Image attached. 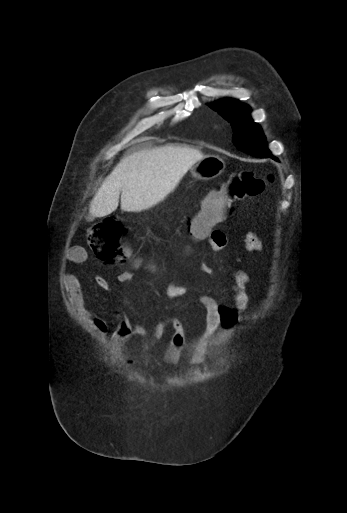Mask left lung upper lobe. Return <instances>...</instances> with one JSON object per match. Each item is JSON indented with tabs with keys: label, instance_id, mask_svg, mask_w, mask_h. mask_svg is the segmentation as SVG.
I'll return each mask as SVG.
<instances>
[{
	"label": "left lung upper lobe",
	"instance_id": "obj_1",
	"mask_svg": "<svg viewBox=\"0 0 347 513\" xmlns=\"http://www.w3.org/2000/svg\"><path fill=\"white\" fill-rule=\"evenodd\" d=\"M231 122L235 146L257 157L271 156L260 126L250 117V108L236 100L218 101L209 105Z\"/></svg>",
	"mask_w": 347,
	"mask_h": 513
}]
</instances>
